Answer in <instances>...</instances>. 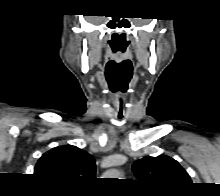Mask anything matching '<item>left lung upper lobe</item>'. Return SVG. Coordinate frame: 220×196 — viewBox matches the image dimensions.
I'll list each match as a JSON object with an SVG mask.
<instances>
[{
    "mask_svg": "<svg viewBox=\"0 0 220 196\" xmlns=\"http://www.w3.org/2000/svg\"><path fill=\"white\" fill-rule=\"evenodd\" d=\"M133 171L140 182L162 190H181L192 183L179 163L165 155L140 159Z\"/></svg>",
    "mask_w": 220,
    "mask_h": 196,
    "instance_id": "left-lung-upper-lobe-1",
    "label": "left lung upper lobe"
}]
</instances>
